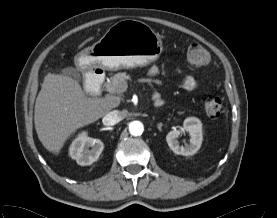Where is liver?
I'll use <instances>...</instances> for the list:
<instances>
[{
	"label": "liver",
	"mask_w": 277,
	"mask_h": 218,
	"mask_svg": "<svg viewBox=\"0 0 277 218\" xmlns=\"http://www.w3.org/2000/svg\"><path fill=\"white\" fill-rule=\"evenodd\" d=\"M120 98H87L80 84L65 75L48 73L36 98L34 124L43 146L59 154L77 129L97 121L119 106Z\"/></svg>",
	"instance_id": "liver-1"
}]
</instances>
